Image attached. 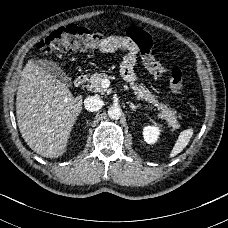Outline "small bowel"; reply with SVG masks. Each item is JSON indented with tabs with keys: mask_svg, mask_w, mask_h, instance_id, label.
Segmentation results:
<instances>
[{
	"mask_svg": "<svg viewBox=\"0 0 228 228\" xmlns=\"http://www.w3.org/2000/svg\"><path fill=\"white\" fill-rule=\"evenodd\" d=\"M152 44L149 36L143 29L130 27L123 36H110L100 47V50L105 53L113 52L118 49L127 51L121 65L122 76L128 81H134L136 75L134 67L137 62L138 52L141 54V60L145 68L154 76L159 77L167 72L151 53ZM146 53V54H145ZM168 56H172L171 52H166Z\"/></svg>",
	"mask_w": 228,
	"mask_h": 228,
	"instance_id": "c3829d8e",
	"label": "small bowel"
}]
</instances>
